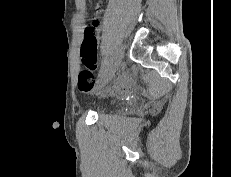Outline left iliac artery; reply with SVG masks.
Listing matches in <instances>:
<instances>
[{
  "instance_id": "obj_1",
  "label": "left iliac artery",
  "mask_w": 231,
  "mask_h": 177,
  "mask_svg": "<svg viewBox=\"0 0 231 177\" xmlns=\"http://www.w3.org/2000/svg\"><path fill=\"white\" fill-rule=\"evenodd\" d=\"M110 63H111V58L109 55H106L104 58V62H101V69L99 71V76L104 72V71H108V67H110Z\"/></svg>"
}]
</instances>
